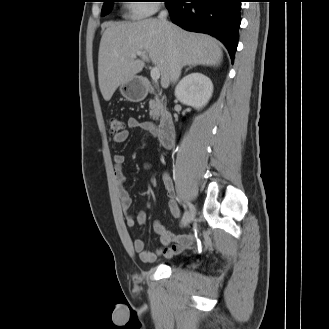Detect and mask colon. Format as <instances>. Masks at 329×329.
<instances>
[{
  "instance_id": "colon-1",
  "label": "colon",
  "mask_w": 329,
  "mask_h": 329,
  "mask_svg": "<svg viewBox=\"0 0 329 329\" xmlns=\"http://www.w3.org/2000/svg\"><path fill=\"white\" fill-rule=\"evenodd\" d=\"M109 130L112 135H118L125 130L123 121L115 116L109 118Z\"/></svg>"
}]
</instances>
